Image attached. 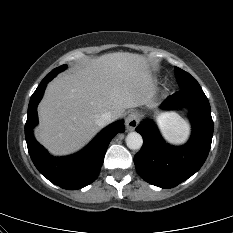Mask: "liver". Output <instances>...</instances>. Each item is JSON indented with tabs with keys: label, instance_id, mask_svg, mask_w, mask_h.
Wrapping results in <instances>:
<instances>
[{
	"label": "liver",
	"instance_id": "liver-1",
	"mask_svg": "<svg viewBox=\"0 0 233 233\" xmlns=\"http://www.w3.org/2000/svg\"><path fill=\"white\" fill-rule=\"evenodd\" d=\"M152 73L145 57L115 52L87 61L51 81L38 107L37 140L53 155L82 148L100 129L96 120L111 112L151 103Z\"/></svg>",
	"mask_w": 233,
	"mask_h": 233
}]
</instances>
